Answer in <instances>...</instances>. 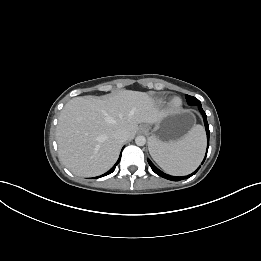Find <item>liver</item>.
<instances>
[{
    "label": "liver",
    "instance_id": "6515ba94",
    "mask_svg": "<svg viewBox=\"0 0 261 261\" xmlns=\"http://www.w3.org/2000/svg\"><path fill=\"white\" fill-rule=\"evenodd\" d=\"M166 114L145 92L124 90L104 97L73 98L58 119L59 158L75 175H100L114 165L123 142L135 137L138 124H155ZM117 130L126 132L125 141L114 137Z\"/></svg>",
    "mask_w": 261,
    "mask_h": 261
}]
</instances>
